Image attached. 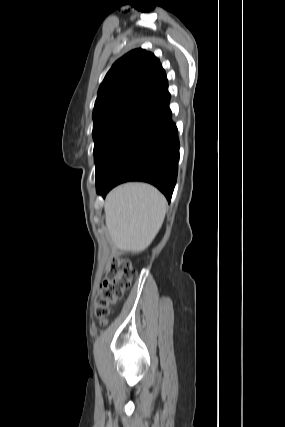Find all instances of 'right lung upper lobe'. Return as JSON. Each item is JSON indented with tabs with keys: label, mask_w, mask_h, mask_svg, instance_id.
<instances>
[{
	"label": "right lung upper lobe",
	"mask_w": 285,
	"mask_h": 427,
	"mask_svg": "<svg viewBox=\"0 0 285 427\" xmlns=\"http://www.w3.org/2000/svg\"><path fill=\"white\" fill-rule=\"evenodd\" d=\"M168 93L165 71L150 52L135 49L116 61L101 83L94 121L122 112H145Z\"/></svg>",
	"instance_id": "1"
}]
</instances>
